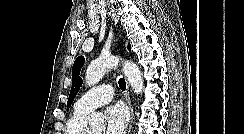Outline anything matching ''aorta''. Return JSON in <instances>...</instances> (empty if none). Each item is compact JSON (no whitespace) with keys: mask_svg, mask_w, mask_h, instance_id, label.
<instances>
[{"mask_svg":"<svg viewBox=\"0 0 244 134\" xmlns=\"http://www.w3.org/2000/svg\"><path fill=\"white\" fill-rule=\"evenodd\" d=\"M119 58L115 56L100 57L97 60L90 63L86 71V83L89 86L97 84L103 76L111 68L119 63ZM123 72L127 81L131 85L132 89L136 94H142L143 91V78L139 67L130 61L123 63ZM104 117L99 112H93L89 116V123L92 125L102 124Z\"/></svg>","mask_w":244,"mask_h":134,"instance_id":"762f6f07","label":"aorta"}]
</instances>
